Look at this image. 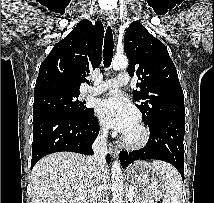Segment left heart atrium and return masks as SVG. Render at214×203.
<instances>
[{
  "label": "left heart atrium",
  "mask_w": 214,
  "mask_h": 203,
  "mask_svg": "<svg viewBox=\"0 0 214 203\" xmlns=\"http://www.w3.org/2000/svg\"><path fill=\"white\" fill-rule=\"evenodd\" d=\"M101 121L108 127L128 133L136 127L138 115L131 103L118 91L110 93L96 108Z\"/></svg>",
  "instance_id": "1"
}]
</instances>
